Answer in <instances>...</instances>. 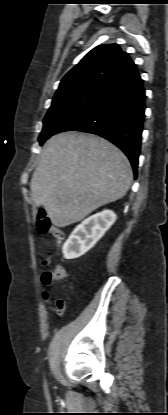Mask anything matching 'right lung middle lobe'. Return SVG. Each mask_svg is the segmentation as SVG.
<instances>
[{
  "label": "right lung middle lobe",
  "instance_id": "right-lung-middle-lobe-1",
  "mask_svg": "<svg viewBox=\"0 0 168 415\" xmlns=\"http://www.w3.org/2000/svg\"><path fill=\"white\" fill-rule=\"evenodd\" d=\"M100 94L101 91L83 90L53 98L52 105L43 120V130L38 138L40 144L42 145L65 122Z\"/></svg>",
  "mask_w": 168,
  "mask_h": 415
}]
</instances>
